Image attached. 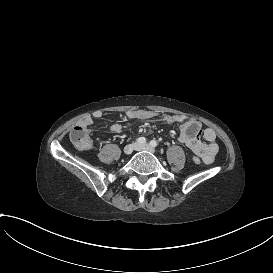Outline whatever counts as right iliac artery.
Instances as JSON below:
<instances>
[{
    "label": "right iliac artery",
    "mask_w": 273,
    "mask_h": 273,
    "mask_svg": "<svg viewBox=\"0 0 273 273\" xmlns=\"http://www.w3.org/2000/svg\"><path fill=\"white\" fill-rule=\"evenodd\" d=\"M146 142V139L144 138V137H139L138 139H137V143L138 144H144Z\"/></svg>",
    "instance_id": "1"
}]
</instances>
